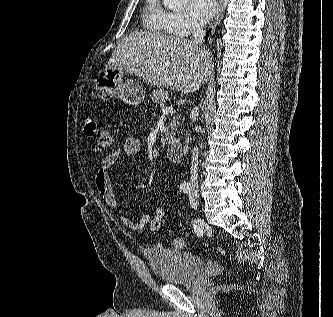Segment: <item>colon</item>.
I'll list each match as a JSON object with an SVG mask.
<instances>
[{"label":"colon","instance_id":"obj_1","mask_svg":"<svg viewBox=\"0 0 333 317\" xmlns=\"http://www.w3.org/2000/svg\"><path fill=\"white\" fill-rule=\"evenodd\" d=\"M84 133L90 141V145L93 151L101 152L106 150L111 143L109 133L100 127L93 119L86 120L84 124ZM167 211L165 208H158L152 215L149 226L152 230H157L161 226L162 222L166 218ZM176 249H183L185 247V241L176 237L172 242Z\"/></svg>","mask_w":333,"mask_h":317}]
</instances>
